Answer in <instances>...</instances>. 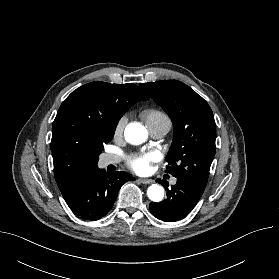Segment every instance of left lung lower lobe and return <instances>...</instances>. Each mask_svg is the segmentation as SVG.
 Masks as SVG:
<instances>
[{
	"label": "left lung lower lobe",
	"instance_id": "obj_1",
	"mask_svg": "<svg viewBox=\"0 0 279 279\" xmlns=\"http://www.w3.org/2000/svg\"><path fill=\"white\" fill-rule=\"evenodd\" d=\"M158 182L160 179L157 180ZM165 182L161 181L163 185ZM167 187V199L160 202H151L149 209L158 219L174 222L188 215L201 198L205 187L194 182L178 179L177 183Z\"/></svg>",
	"mask_w": 279,
	"mask_h": 279
}]
</instances>
